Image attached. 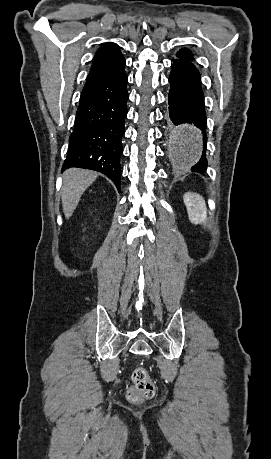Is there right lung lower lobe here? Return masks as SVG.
<instances>
[{
	"instance_id": "right-lung-lower-lobe-1",
	"label": "right lung lower lobe",
	"mask_w": 271,
	"mask_h": 459,
	"mask_svg": "<svg viewBox=\"0 0 271 459\" xmlns=\"http://www.w3.org/2000/svg\"><path fill=\"white\" fill-rule=\"evenodd\" d=\"M127 81L123 71L84 86L62 171L70 167L99 171L120 191Z\"/></svg>"
}]
</instances>
